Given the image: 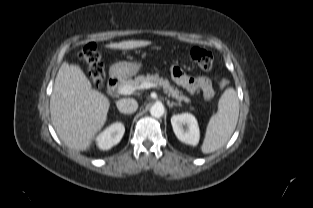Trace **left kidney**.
<instances>
[{
  "label": "left kidney",
  "instance_id": "1",
  "mask_svg": "<svg viewBox=\"0 0 313 208\" xmlns=\"http://www.w3.org/2000/svg\"><path fill=\"white\" fill-rule=\"evenodd\" d=\"M171 124L176 137L183 143L196 146L200 132L196 118L190 113L173 115Z\"/></svg>",
  "mask_w": 313,
  "mask_h": 208
}]
</instances>
